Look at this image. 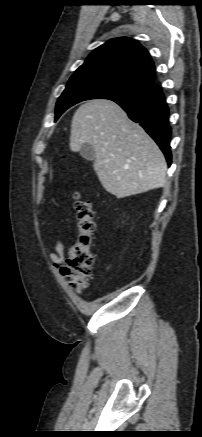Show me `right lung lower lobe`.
I'll return each mask as SVG.
<instances>
[{
  "instance_id": "1",
  "label": "right lung lower lobe",
  "mask_w": 202,
  "mask_h": 437,
  "mask_svg": "<svg viewBox=\"0 0 202 437\" xmlns=\"http://www.w3.org/2000/svg\"><path fill=\"white\" fill-rule=\"evenodd\" d=\"M128 114L129 118L139 123L155 140L164 153L168 165H171L170 137L171 127L168 124L169 108L159 85L148 91L113 100Z\"/></svg>"
}]
</instances>
